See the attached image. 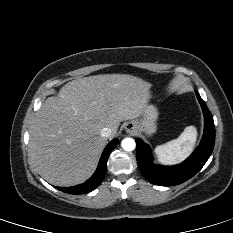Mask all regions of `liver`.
<instances>
[{
	"label": "liver",
	"instance_id": "liver-1",
	"mask_svg": "<svg viewBox=\"0 0 233 233\" xmlns=\"http://www.w3.org/2000/svg\"><path fill=\"white\" fill-rule=\"evenodd\" d=\"M150 84L129 74H101L65 84L37 111L30 130V158L56 186H73L93 173L107 143L104 127L142 116Z\"/></svg>",
	"mask_w": 233,
	"mask_h": 233
}]
</instances>
